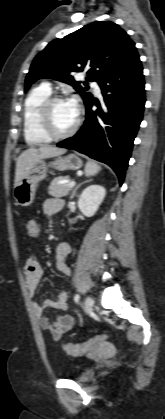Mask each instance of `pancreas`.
Listing matches in <instances>:
<instances>
[{
    "label": "pancreas",
    "mask_w": 165,
    "mask_h": 419,
    "mask_svg": "<svg viewBox=\"0 0 165 419\" xmlns=\"http://www.w3.org/2000/svg\"><path fill=\"white\" fill-rule=\"evenodd\" d=\"M69 177L59 176L54 178L48 188V194L53 197H64L69 194L71 188L68 187V183L60 184L59 181L68 180Z\"/></svg>",
    "instance_id": "obj_1"
}]
</instances>
